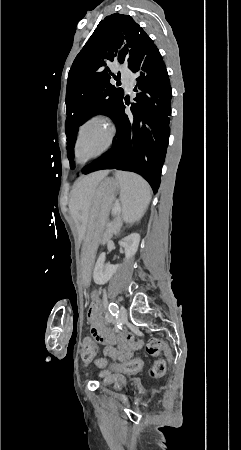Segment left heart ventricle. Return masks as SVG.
Instances as JSON below:
<instances>
[{"instance_id": "left-heart-ventricle-1", "label": "left heart ventricle", "mask_w": 241, "mask_h": 450, "mask_svg": "<svg viewBox=\"0 0 241 450\" xmlns=\"http://www.w3.org/2000/svg\"><path fill=\"white\" fill-rule=\"evenodd\" d=\"M93 122H103V121L101 119L94 118V119H91L90 121L86 122L84 127H80V130H83V129L88 130L91 133L90 137H85V140L89 139L90 142H96V140L101 139V137H102L101 132L104 130L103 127H93L92 126ZM86 124H91V125H86ZM80 137H81V135H80ZM90 145L92 146L91 149L97 147L96 143H90ZM93 146H95V147H93Z\"/></svg>"}]
</instances>
